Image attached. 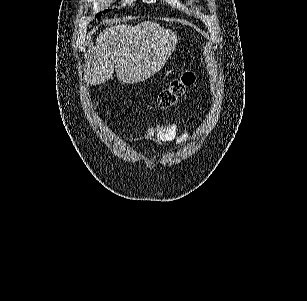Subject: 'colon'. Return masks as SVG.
Here are the masks:
<instances>
[{"label": "colon", "mask_w": 307, "mask_h": 301, "mask_svg": "<svg viewBox=\"0 0 307 301\" xmlns=\"http://www.w3.org/2000/svg\"><path fill=\"white\" fill-rule=\"evenodd\" d=\"M195 81V74L191 70L183 72L179 77L170 81V83L162 89L156 99L158 108L171 107L185 90L190 87Z\"/></svg>", "instance_id": "1"}]
</instances>
